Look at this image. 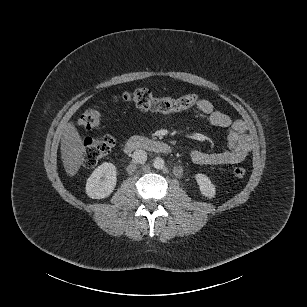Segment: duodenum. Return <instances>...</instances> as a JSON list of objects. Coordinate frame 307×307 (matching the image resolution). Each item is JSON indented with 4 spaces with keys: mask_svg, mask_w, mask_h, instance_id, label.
I'll list each match as a JSON object with an SVG mask.
<instances>
[{
    "mask_svg": "<svg viewBox=\"0 0 307 307\" xmlns=\"http://www.w3.org/2000/svg\"><path fill=\"white\" fill-rule=\"evenodd\" d=\"M137 149H144L159 154H169L172 151L171 146L165 142L140 136L132 137L125 143V152H131Z\"/></svg>",
    "mask_w": 307,
    "mask_h": 307,
    "instance_id": "1",
    "label": "duodenum"
}]
</instances>
